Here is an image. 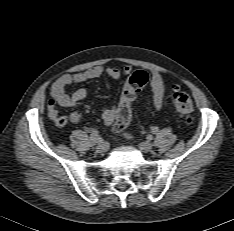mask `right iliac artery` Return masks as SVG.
Here are the masks:
<instances>
[{
	"instance_id": "82829eb1",
	"label": "right iliac artery",
	"mask_w": 234,
	"mask_h": 231,
	"mask_svg": "<svg viewBox=\"0 0 234 231\" xmlns=\"http://www.w3.org/2000/svg\"><path fill=\"white\" fill-rule=\"evenodd\" d=\"M99 141H100V137L98 135V132L93 129L91 136H90V141H89L90 146H94Z\"/></svg>"
}]
</instances>
